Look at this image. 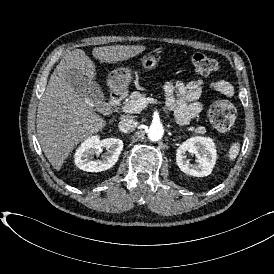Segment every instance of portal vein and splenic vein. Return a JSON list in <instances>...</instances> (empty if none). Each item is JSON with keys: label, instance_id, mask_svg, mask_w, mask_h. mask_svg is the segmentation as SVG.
Listing matches in <instances>:
<instances>
[{"label": "portal vein and splenic vein", "instance_id": "1", "mask_svg": "<svg viewBox=\"0 0 274 274\" xmlns=\"http://www.w3.org/2000/svg\"><path fill=\"white\" fill-rule=\"evenodd\" d=\"M148 100L149 98L142 97L135 101L129 109L124 107V111L127 113H138L146 107Z\"/></svg>", "mask_w": 274, "mask_h": 274}]
</instances>
